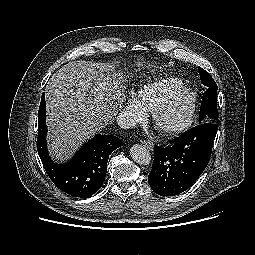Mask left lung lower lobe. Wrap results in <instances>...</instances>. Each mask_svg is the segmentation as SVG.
<instances>
[{
	"label": "left lung lower lobe",
	"instance_id": "1",
	"mask_svg": "<svg viewBox=\"0 0 255 255\" xmlns=\"http://www.w3.org/2000/svg\"><path fill=\"white\" fill-rule=\"evenodd\" d=\"M218 125L204 122L176 137L165 148L156 147L148 182L161 196H175L198 179L209 163Z\"/></svg>",
	"mask_w": 255,
	"mask_h": 255
}]
</instances>
